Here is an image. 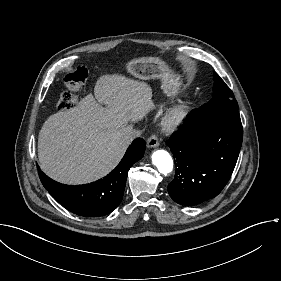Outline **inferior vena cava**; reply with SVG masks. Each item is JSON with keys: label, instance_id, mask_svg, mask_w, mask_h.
<instances>
[{"label": "inferior vena cava", "instance_id": "inferior-vena-cava-1", "mask_svg": "<svg viewBox=\"0 0 281 281\" xmlns=\"http://www.w3.org/2000/svg\"><path fill=\"white\" fill-rule=\"evenodd\" d=\"M139 135V133H136V132H128L126 133L125 135V141L128 143V144H131L133 142V140Z\"/></svg>", "mask_w": 281, "mask_h": 281}]
</instances>
